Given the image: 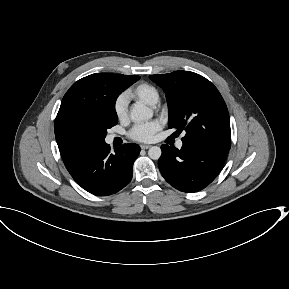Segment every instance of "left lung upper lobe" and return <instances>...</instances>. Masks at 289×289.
<instances>
[{
    "label": "left lung upper lobe",
    "instance_id": "1",
    "mask_svg": "<svg viewBox=\"0 0 289 289\" xmlns=\"http://www.w3.org/2000/svg\"><path fill=\"white\" fill-rule=\"evenodd\" d=\"M150 79L166 93L168 127L179 132L186 131L182 141L230 149L231 130L227 106L209 80L189 71L150 75Z\"/></svg>",
    "mask_w": 289,
    "mask_h": 289
}]
</instances>
